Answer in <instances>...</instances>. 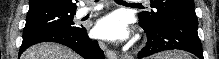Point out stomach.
<instances>
[{"label": "stomach", "mask_w": 219, "mask_h": 59, "mask_svg": "<svg viewBox=\"0 0 219 59\" xmlns=\"http://www.w3.org/2000/svg\"><path fill=\"white\" fill-rule=\"evenodd\" d=\"M167 56H163V55H158L155 57V59H167Z\"/></svg>", "instance_id": "0dacf381"}]
</instances>
